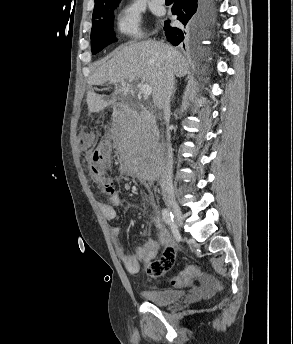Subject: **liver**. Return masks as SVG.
<instances>
[{"label": "liver", "mask_w": 293, "mask_h": 344, "mask_svg": "<svg viewBox=\"0 0 293 344\" xmlns=\"http://www.w3.org/2000/svg\"><path fill=\"white\" fill-rule=\"evenodd\" d=\"M176 77H183L189 69L187 59L176 48L155 40L131 43L123 47L116 55L100 66L89 78L90 85L113 83L118 85L127 82L126 86L116 88L109 100L104 95L92 91L87 93V104L90 112H99L113 105L119 97L125 98L133 93L130 83L141 81L152 87L153 102L157 100L166 70Z\"/></svg>", "instance_id": "1"}]
</instances>
